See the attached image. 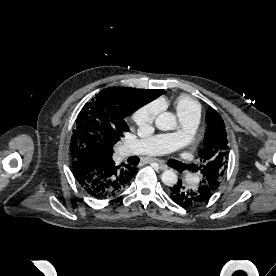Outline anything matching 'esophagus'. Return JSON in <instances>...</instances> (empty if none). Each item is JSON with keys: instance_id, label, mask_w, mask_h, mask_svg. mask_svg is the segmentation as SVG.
Masks as SVG:
<instances>
[{"instance_id": "esophagus-1", "label": "esophagus", "mask_w": 276, "mask_h": 276, "mask_svg": "<svg viewBox=\"0 0 276 276\" xmlns=\"http://www.w3.org/2000/svg\"><path fill=\"white\" fill-rule=\"evenodd\" d=\"M150 162H155L159 165L160 170H167L168 166L158 159H150Z\"/></svg>"}]
</instances>
